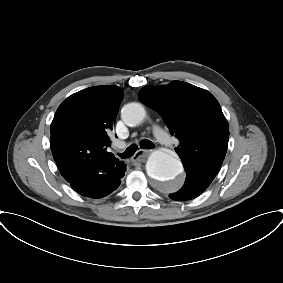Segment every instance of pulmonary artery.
<instances>
[{
    "label": "pulmonary artery",
    "mask_w": 283,
    "mask_h": 283,
    "mask_svg": "<svg viewBox=\"0 0 283 283\" xmlns=\"http://www.w3.org/2000/svg\"><path fill=\"white\" fill-rule=\"evenodd\" d=\"M158 138L161 142H164L166 144L172 143V139L160 129L158 130Z\"/></svg>",
    "instance_id": "obj_1"
}]
</instances>
